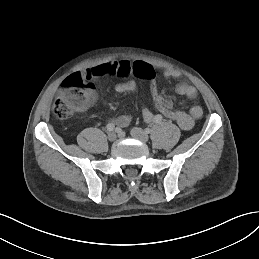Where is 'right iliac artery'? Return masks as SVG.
Here are the masks:
<instances>
[{"instance_id": "82829eb1", "label": "right iliac artery", "mask_w": 259, "mask_h": 259, "mask_svg": "<svg viewBox=\"0 0 259 259\" xmlns=\"http://www.w3.org/2000/svg\"><path fill=\"white\" fill-rule=\"evenodd\" d=\"M114 129H115V126H114L113 123H109V124L107 125V130H108V131H113Z\"/></svg>"}]
</instances>
